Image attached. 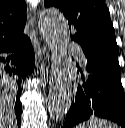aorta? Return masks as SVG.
<instances>
[{
  "mask_svg": "<svg viewBox=\"0 0 125 128\" xmlns=\"http://www.w3.org/2000/svg\"><path fill=\"white\" fill-rule=\"evenodd\" d=\"M39 29L52 52V74L49 82L48 112L52 119L64 118L74 97L73 67L67 50L68 23L55 8L39 16Z\"/></svg>",
  "mask_w": 125,
  "mask_h": 128,
  "instance_id": "obj_1",
  "label": "aorta"
}]
</instances>
